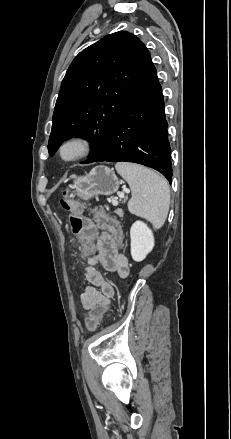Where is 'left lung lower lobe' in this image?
I'll return each mask as SVG.
<instances>
[{"label":"left lung lower lobe","mask_w":231,"mask_h":439,"mask_svg":"<svg viewBox=\"0 0 231 439\" xmlns=\"http://www.w3.org/2000/svg\"><path fill=\"white\" fill-rule=\"evenodd\" d=\"M164 100L151 62L92 162H134L161 172L172 181L171 148Z\"/></svg>","instance_id":"1"}]
</instances>
